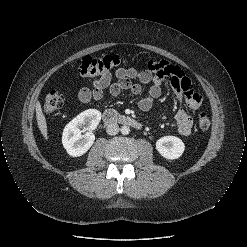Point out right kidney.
<instances>
[{
	"label": "right kidney",
	"instance_id": "ca27d5eb",
	"mask_svg": "<svg viewBox=\"0 0 247 247\" xmlns=\"http://www.w3.org/2000/svg\"><path fill=\"white\" fill-rule=\"evenodd\" d=\"M100 120V111L88 109L77 115L65 126L62 134V143L70 156H82L90 149L95 141V135L92 131L97 128ZM85 124L88 127H85ZM83 132L86 133L83 134Z\"/></svg>",
	"mask_w": 247,
	"mask_h": 247
}]
</instances>
